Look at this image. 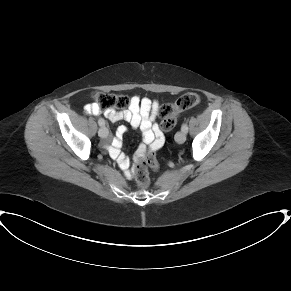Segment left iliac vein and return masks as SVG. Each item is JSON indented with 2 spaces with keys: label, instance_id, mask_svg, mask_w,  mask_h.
<instances>
[{
  "label": "left iliac vein",
  "instance_id": "obj_1",
  "mask_svg": "<svg viewBox=\"0 0 291 291\" xmlns=\"http://www.w3.org/2000/svg\"><path fill=\"white\" fill-rule=\"evenodd\" d=\"M175 140L177 143H180V144L183 143L186 140V133L183 131L178 132L175 135Z\"/></svg>",
  "mask_w": 291,
  "mask_h": 291
}]
</instances>
